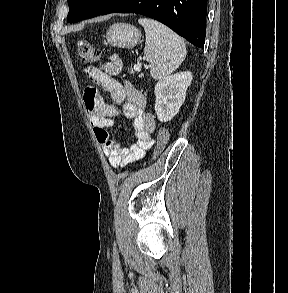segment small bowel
Returning a JSON list of instances; mask_svg holds the SVG:
<instances>
[{
	"label": "small bowel",
	"instance_id": "obj_1",
	"mask_svg": "<svg viewBox=\"0 0 288 293\" xmlns=\"http://www.w3.org/2000/svg\"><path fill=\"white\" fill-rule=\"evenodd\" d=\"M120 69V61L114 60L107 65L106 72L92 67L87 70V75L110 94L113 103L119 106L124 117L132 122L136 141L129 148L112 139L107 130L114 124L113 117L120 114L117 107L106 103L94 87L86 88L83 95L86 114L95 137L114 168L126 166L141 158L154 143L151 134L156 127L153 115L146 110L144 94L130 81L120 82L113 77Z\"/></svg>",
	"mask_w": 288,
	"mask_h": 293
}]
</instances>
